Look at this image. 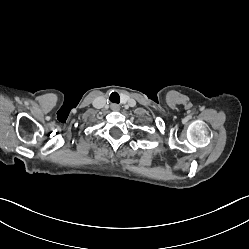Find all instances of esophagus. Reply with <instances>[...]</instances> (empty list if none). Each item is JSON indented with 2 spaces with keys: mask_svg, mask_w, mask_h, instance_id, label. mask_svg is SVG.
Masks as SVG:
<instances>
[{
  "mask_svg": "<svg viewBox=\"0 0 249 249\" xmlns=\"http://www.w3.org/2000/svg\"><path fill=\"white\" fill-rule=\"evenodd\" d=\"M112 109H114V110H118V109H119V107H118L117 105H112Z\"/></svg>",
  "mask_w": 249,
  "mask_h": 249,
  "instance_id": "1",
  "label": "esophagus"
}]
</instances>
